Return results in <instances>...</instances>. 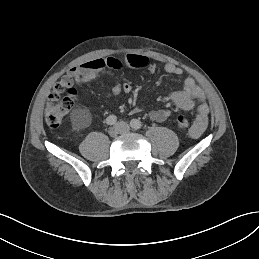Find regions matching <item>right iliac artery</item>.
<instances>
[{
    "label": "right iliac artery",
    "mask_w": 259,
    "mask_h": 259,
    "mask_svg": "<svg viewBox=\"0 0 259 259\" xmlns=\"http://www.w3.org/2000/svg\"><path fill=\"white\" fill-rule=\"evenodd\" d=\"M116 121H117V118H116L115 115H110V116H108L107 119H106V123H107L108 125H114V124L116 123Z\"/></svg>",
    "instance_id": "1"
}]
</instances>
